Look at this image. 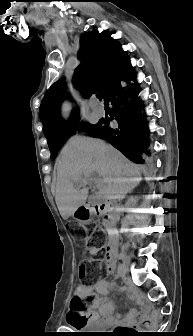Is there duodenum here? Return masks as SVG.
Listing matches in <instances>:
<instances>
[{
	"mask_svg": "<svg viewBox=\"0 0 193 336\" xmlns=\"http://www.w3.org/2000/svg\"><path fill=\"white\" fill-rule=\"evenodd\" d=\"M92 209L97 216L104 217L105 219H112L115 213V205L111 202L97 203L92 206ZM106 261L110 264L115 263V233L110 232L109 242L106 246Z\"/></svg>",
	"mask_w": 193,
	"mask_h": 336,
	"instance_id": "410a0bca",
	"label": "duodenum"
}]
</instances>
